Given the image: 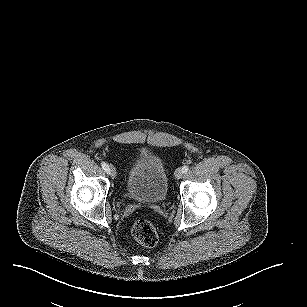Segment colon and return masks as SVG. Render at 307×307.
Returning a JSON list of instances; mask_svg holds the SVG:
<instances>
[{
    "label": "colon",
    "instance_id": "5ec220e1",
    "mask_svg": "<svg viewBox=\"0 0 307 307\" xmlns=\"http://www.w3.org/2000/svg\"><path fill=\"white\" fill-rule=\"evenodd\" d=\"M134 239L145 247H153L158 243V234L152 222L139 219L132 226Z\"/></svg>",
    "mask_w": 307,
    "mask_h": 307
}]
</instances>
